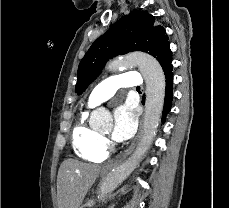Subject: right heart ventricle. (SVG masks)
<instances>
[{
  "label": "right heart ventricle",
  "instance_id": "1",
  "mask_svg": "<svg viewBox=\"0 0 229 208\" xmlns=\"http://www.w3.org/2000/svg\"><path fill=\"white\" fill-rule=\"evenodd\" d=\"M87 120L88 111L80 112L71 131V147L79 159L98 162L104 158V150L101 148L102 137Z\"/></svg>",
  "mask_w": 229,
  "mask_h": 208
}]
</instances>
